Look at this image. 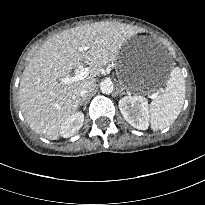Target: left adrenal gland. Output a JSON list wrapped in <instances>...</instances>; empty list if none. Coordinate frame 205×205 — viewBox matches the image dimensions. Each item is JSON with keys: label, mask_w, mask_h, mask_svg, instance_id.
Wrapping results in <instances>:
<instances>
[{"label": "left adrenal gland", "mask_w": 205, "mask_h": 205, "mask_svg": "<svg viewBox=\"0 0 205 205\" xmlns=\"http://www.w3.org/2000/svg\"><path fill=\"white\" fill-rule=\"evenodd\" d=\"M119 94H125L124 88L122 86L119 87Z\"/></svg>", "instance_id": "obj_1"}]
</instances>
